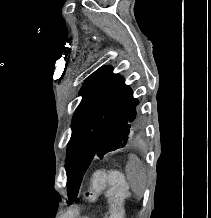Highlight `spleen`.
<instances>
[{"mask_svg":"<svg viewBox=\"0 0 211 218\" xmlns=\"http://www.w3.org/2000/svg\"><path fill=\"white\" fill-rule=\"evenodd\" d=\"M125 172L132 192L141 200L145 192L146 174L142 162L134 154H131Z\"/></svg>","mask_w":211,"mask_h":218,"instance_id":"3e777b00","label":"spleen"}]
</instances>
